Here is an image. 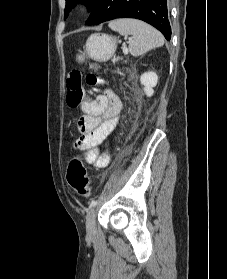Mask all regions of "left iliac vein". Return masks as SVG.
Masks as SVG:
<instances>
[{"mask_svg": "<svg viewBox=\"0 0 227 279\" xmlns=\"http://www.w3.org/2000/svg\"><path fill=\"white\" fill-rule=\"evenodd\" d=\"M86 229H87V236L94 237L96 234V210L93 207L87 216L86 220Z\"/></svg>", "mask_w": 227, "mask_h": 279, "instance_id": "obj_1", "label": "left iliac vein"}]
</instances>
